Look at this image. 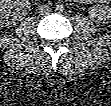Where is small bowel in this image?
<instances>
[{
    "instance_id": "1",
    "label": "small bowel",
    "mask_w": 111,
    "mask_h": 106,
    "mask_svg": "<svg viewBox=\"0 0 111 106\" xmlns=\"http://www.w3.org/2000/svg\"><path fill=\"white\" fill-rule=\"evenodd\" d=\"M84 2H92V1H84Z\"/></svg>"
}]
</instances>
